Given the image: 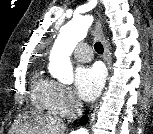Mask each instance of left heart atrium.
I'll list each match as a JSON object with an SVG mask.
<instances>
[{
    "label": "left heart atrium",
    "mask_w": 153,
    "mask_h": 134,
    "mask_svg": "<svg viewBox=\"0 0 153 134\" xmlns=\"http://www.w3.org/2000/svg\"><path fill=\"white\" fill-rule=\"evenodd\" d=\"M104 80L105 73L100 66H80L75 71V91L81 99L92 101L99 95Z\"/></svg>",
    "instance_id": "1"
}]
</instances>
